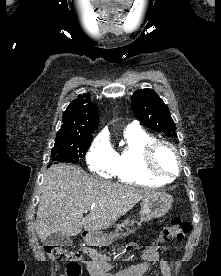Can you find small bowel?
Listing matches in <instances>:
<instances>
[{
    "instance_id": "obj_1",
    "label": "small bowel",
    "mask_w": 221,
    "mask_h": 276,
    "mask_svg": "<svg viewBox=\"0 0 221 276\" xmlns=\"http://www.w3.org/2000/svg\"><path fill=\"white\" fill-rule=\"evenodd\" d=\"M84 252L88 256L84 263L91 276H144L153 263H159L163 276H172L169 263L160 259V248L155 245L143 250L139 263L118 272H113L110 258L99 254L94 249H85Z\"/></svg>"
}]
</instances>
